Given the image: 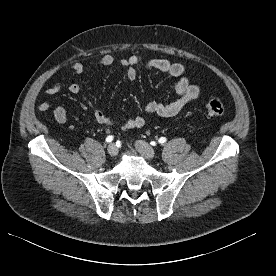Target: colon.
I'll list each match as a JSON object with an SVG mask.
<instances>
[{
	"instance_id": "colon-1",
	"label": "colon",
	"mask_w": 276,
	"mask_h": 276,
	"mask_svg": "<svg viewBox=\"0 0 276 276\" xmlns=\"http://www.w3.org/2000/svg\"><path fill=\"white\" fill-rule=\"evenodd\" d=\"M207 114L211 117H222L225 113V106L219 97H212L205 105Z\"/></svg>"
}]
</instances>
